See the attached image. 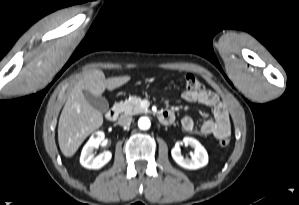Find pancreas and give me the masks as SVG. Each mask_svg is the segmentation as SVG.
Returning a JSON list of instances; mask_svg holds the SVG:
<instances>
[{
	"label": "pancreas",
	"mask_w": 299,
	"mask_h": 205,
	"mask_svg": "<svg viewBox=\"0 0 299 205\" xmlns=\"http://www.w3.org/2000/svg\"><path fill=\"white\" fill-rule=\"evenodd\" d=\"M140 103V97H131L128 100L115 104V108L125 115H136L146 112V110L141 107Z\"/></svg>",
	"instance_id": "obj_1"
}]
</instances>
